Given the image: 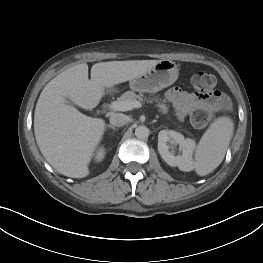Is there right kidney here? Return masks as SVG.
I'll use <instances>...</instances> for the list:
<instances>
[{
    "mask_svg": "<svg viewBox=\"0 0 263 263\" xmlns=\"http://www.w3.org/2000/svg\"><path fill=\"white\" fill-rule=\"evenodd\" d=\"M104 155H105L104 149L100 148L98 150V152L96 153V157L95 158H96L97 161H101L104 158Z\"/></svg>",
    "mask_w": 263,
    "mask_h": 263,
    "instance_id": "ca27d5eb",
    "label": "right kidney"
}]
</instances>
